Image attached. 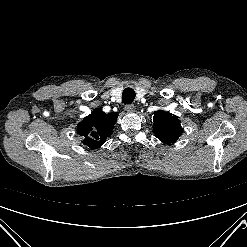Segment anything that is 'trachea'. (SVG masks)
Instances as JSON below:
<instances>
[{
  "label": "trachea",
  "mask_w": 247,
  "mask_h": 247,
  "mask_svg": "<svg viewBox=\"0 0 247 247\" xmlns=\"http://www.w3.org/2000/svg\"><path fill=\"white\" fill-rule=\"evenodd\" d=\"M135 91L132 88H126L124 89L122 93L123 103L124 104H131L133 100L135 99Z\"/></svg>",
  "instance_id": "obj_1"
}]
</instances>
